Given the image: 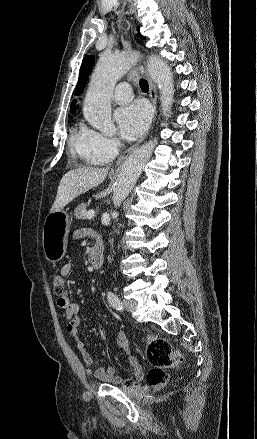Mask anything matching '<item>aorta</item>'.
Instances as JSON below:
<instances>
[{
    "mask_svg": "<svg viewBox=\"0 0 257 439\" xmlns=\"http://www.w3.org/2000/svg\"><path fill=\"white\" fill-rule=\"evenodd\" d=\"M135 52L120 55L104 53L92 75L84 104L85 119L101 133L113 135L115 126L111 120V95L119 79L132 67ZM148 72L160 91L163 113L170 112L174 97V82L167 63L158 56L148 59ZM155 141H149L136 149L125 160L115 183L112 201L115 207L131 192L145 164L152 156Z\"/></svg>",
    "mask_w": 257,
    "mask_h": 439,
    "instance_id": "aorta-1",
    "label": "aorta"
}]
</instances>
